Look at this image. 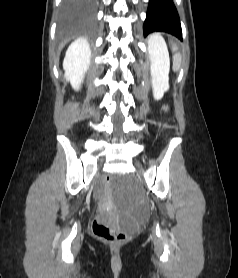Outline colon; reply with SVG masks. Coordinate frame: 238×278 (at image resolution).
<instances>
[{
  "mask_svg": "<svg viewBox=\"0 0 238 278\" xmlns=\"http://www.w3.org/2000/svg\"><path fill=\"white\" fill-rule=\"evenodd\" d=\"M112 184H113L112 175L106 174L105 177L102 178L101 187L111 188ZM104 212L108 216H111L107 208H104ZM92 230L96 237L110 243H122L128 237L126 231L118 227L116 224L102 219H96L93 222Z\"/></svg>",
  "mask_w": 238,
  "mask_h": 278,
  "instance_id": "obj_1",
  "label": "colon"
}]
</instances>
